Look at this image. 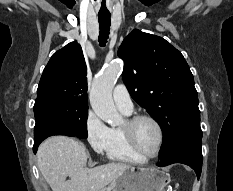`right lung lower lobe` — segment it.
Listing matches in <instances>:
<instances>
[{
    "mask_svg": "<svg viewBox=\"0 0 233 191\" xmlns=\"http://www.w3.org/2000/svg\"><path fill=\"white\" fill-rule=\"evenodd\" d=\"M46 138H47V137H42V138H39V139L34 140V146H33V151H34V153H36L39 144H40L44 139H46Z\"/></svg>",
    "mask_w": 233,
    "mask_h": 191,
    "instance_id": "98d812e1",
    "label": "right lung lower lobe"
}]
</instances>
